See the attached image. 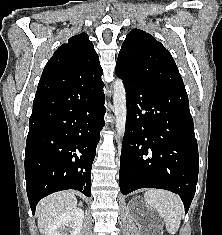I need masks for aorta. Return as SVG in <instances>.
<instances>
[{"instance_id": "762f6f07", "label": "aorta", "mask_w": 222, "mask_h": 235, "mask_svg": "<svg viewBox=\"0 0 222 235\" xmlns=\"http://www.w3.org/2000/svg\"><path fill=\"white\" fill-rule=\"evenodd\" d=\"M113 105L117 137L120 139L125 133L127 116L126 93L121 79L113 83Z\"/></svg>"}]
</instances>
